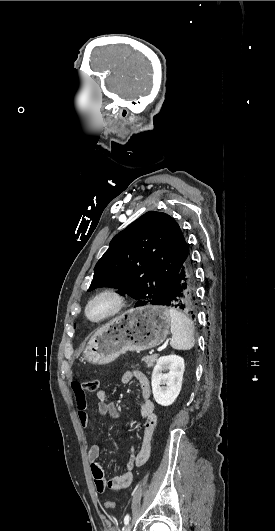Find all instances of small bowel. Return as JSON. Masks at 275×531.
Segmentation results:
<instances>
[{
    "mask_svg": "<svg viewBox=\"0 0 275 531\" xmlns=\"http://www.w3.org/2000/svg\"><path fill=\"white\" fill-rule=\"evenodd\" d=\"M133 379L137 380L141 394L140 416L143 420L141 448L139 451H136L134 446L131 445L130 454L123 473L109 481L104 479L102 467L98 462L101 453L100 446L98 444H93L89 448L87 456L91 462V471L95 481L96 491L100 494L104 493L106 490L120 492L129 487L133 479V469L143 465L149 457L150 441L158 422V415L155 403L151 398L152 389L147 375L139 370H127L121 376L122 384H129ZM70 389L72 396L75 398L84 395L85 388H80L79 383H73ZM96 399L98 401L97 408L101 415H108L112 419L120 418V412L115 404L108 401L106 390H99L96 393ZM76 405L79 408L80 423L82 427L86 428L90 424V416L87 411V398L78 399Z\"/></svg>",
    "mask_w": 275,
    "mask_h": 531,
    "instance_id": "obj_1",
    "label": "small bowel"
}]
</instances>
